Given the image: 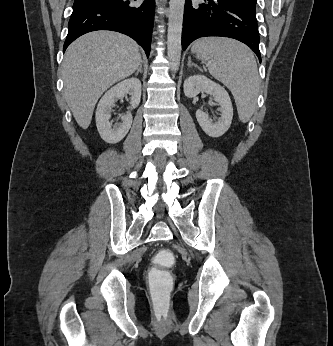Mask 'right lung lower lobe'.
I'll list each match as a JSON object with an SVG mask.
<instances>
[{
	"instance_id": "obj_1",
	"label": "right lung lower lobe",
	"mask_w": 333,
	"mask_h": 346,
	"mask_svg": "<svg viewBox=\"0 0 333 346\" xmlns=\"http://www.w3.org/2000/svg\"><path fill=\"white\" fill-rule=\"evenodd\" d=\"M153 18V0H75L63 52L85 33L112 30L133 38L149 56Z\"/></svg>"
}]
</instances>
